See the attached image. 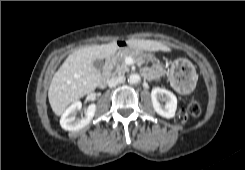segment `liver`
I'll return each instance as SVG.
<instances>
[{
	"label": "liver",
	"instance_id": "6515ba94",
	"mask_svg": "<svg viewBox=\"0 0 245 170\" xmlns=\"http://www.w3.org/2000/svg\"><path fill=\"white\" fill-rule=\"evenodd\" d=\"M130 49L141 51H169L170 48L156 40L130 39ZM120 49L116 42L82 47L71 53L54 74L48 90L53 112L60 116L66 107L94 91L101 81V72L93 66L97 59L113 56Z\"/></svg>",
	"mask_w": 245,
	"mask_h": 170
}]
</instances>
